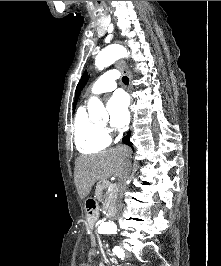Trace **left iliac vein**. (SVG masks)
<instances>
[{"label":"left iliac vein","instance_id":"obj_1","mask_svg":"<svg viewBox=\"0 0 221 266\" xmlns=\"http://www.w3.org/2000/svg\"><path fill=\"white\" fill-rule=\"evenodd\" d=\"M126 255H127V257H131V254L130 253H127Z\"/></svg>","mask_w":221,"mask_h":266}]
</instances>
